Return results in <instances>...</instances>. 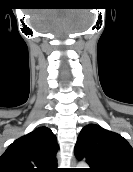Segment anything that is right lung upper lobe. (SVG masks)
Segmentation results:
<instances>
[{
    "mask_svg": "<svg viewBox=\"0 0 133 172\" xmlns=\"http://www.w3.org/2000/svg\"><path fill=\"white\" fill-rule=\"evenodd\" d=\"M56 136L39 127L15 140L0 157V172H57Z\"/></svg>",
    "mask_w": 133,
    "mask_h": 172,
    "instance_id": "obj_1",
    "label": "right lung upper lobe"
}]
</instances>
